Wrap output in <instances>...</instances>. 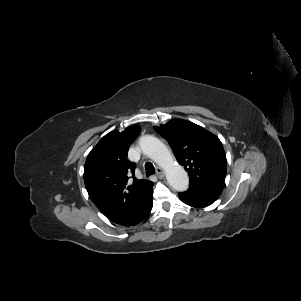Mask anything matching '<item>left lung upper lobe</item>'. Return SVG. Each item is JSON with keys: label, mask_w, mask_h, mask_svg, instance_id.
I'll return each mask as SVG.
<instances>
[{"label": "left lung upper lobe", "mask_w": 301, "mask_h": 301, "mask_svg": "<svg viewBox=\"0 0 301 301\" xmlns=\"http://www.w3.org/2000/svg\"><path fill=\"white\" fill-rule=\"evenodd\" d=\"M154 129L168 141L176 159L189 173L190 186L221 192L226 176V154L217 136L180 119Z\"/></svg>", "instance_id": "obj_1"}]
</instances>
